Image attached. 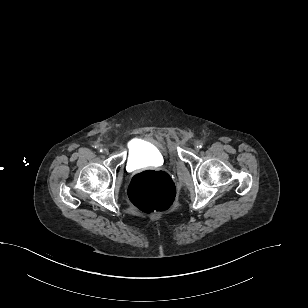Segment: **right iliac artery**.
<instances>
[{
	"label": "right iliac artery",
	"mask_w": 308,
	"mask_h": 308,
	"mask_svg": "<svg viewBox=\"0 0 308 308\" xmlns=\"http://www.w3.org/2000/svg\"><path fill=\"white\" fill-rule=\"evenodd\" d=\"M95 148H97L100 152L103 151V147L102 146L97 145V146H95Z\"/></svg>",
	"instance_id": "1"
}]
</instances>
